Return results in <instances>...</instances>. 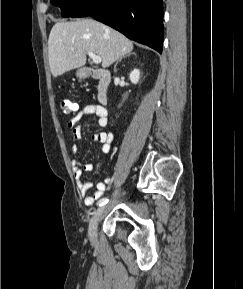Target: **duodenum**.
Instances as JSON below:
<instances>
[{
	"label": "duodenum",
	"mask_w": 243,
	"mask_h": 289,
	"mask_svg": "<svg viewBox=\"0 0 243 289\" xmlns=\"http://www.w3.org/2000/svg\"><path fill=\"white\" fill-rule=\"evenodd\" d=\"M87 74L98 81L97 99L102 106H106L108 103V87L111 80L109 72L104 69L89 68Z\"/></svg>",
	"instance_id": "duodenum-1"
}]
</instances>
